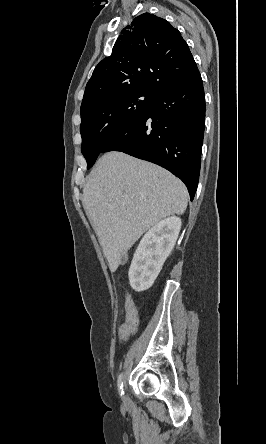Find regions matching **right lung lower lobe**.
Returning a JSON list of instances; mask_svg holds the SVG:
<instances>
[{"mask_svg":"<svg viewBox=\"0 0 266 444\" xmlns=\"http://www.w3.org/2000/svg\"><path fill=\"white\" fill-rule=\"evenodd\" d=\"M205 95L199 70L164 88L149 112L116 135L102 153L121 151L155 163L179 177L193 200L200 173Z\"/></svg>","mask_w":266,"mask_h":444,"instance_id":"98d812e1","label":"right lung lower lobe"}]
</instances>
